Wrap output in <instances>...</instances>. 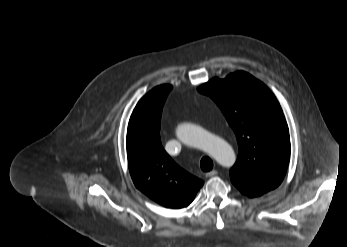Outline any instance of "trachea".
<instances>
[{
  "label": "trachea",
  "instance_id": "3493384b",
  "mask_svg": "<svg viewBox=\"0 0 347 247\" xmlns=\"http://www.w3.org/2000/svg\"><path fill=\"white\" fill-rule=\"evenodd\" d=\"M200 167L204 172L211 171L213 168V162L209 157H203L200 161Z\"/></svg>",
  "mask_w": 347,
  "mask_h": 247
}]
</instances>
